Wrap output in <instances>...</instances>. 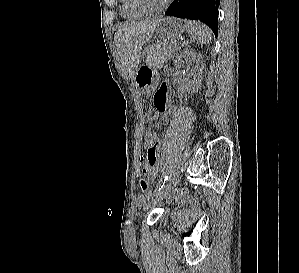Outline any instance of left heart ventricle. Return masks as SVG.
Here are the masks:
<instances>
[{
    "label": "left heart ventricle",
    "mask_w": 299,
    "mask_h": 273,
    "mask_svg": "<svg viewBox=\"0 0 299 273\" xmlns=\"http://www.w3.org/2000/svg\"><path fill=\"white\" fill-rule=\"evenodd\" d=\"M140 3L147 8H156L162 4L164 0H139Z\"/></svg>",
    "instance_id": "b2bd125f"
}]
</instances>
